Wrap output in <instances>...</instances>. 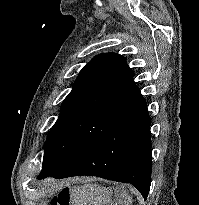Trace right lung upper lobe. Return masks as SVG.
I'll return each mask as SVG.
<instances>
[{"label":"right lung upper lobe","instance_id":"cb5924a9","mask_svg":"<svg viewBox=\"0 0 199 205\" xmlns=\"http://www.w3.org/2000/svg\"><path fill=\"white\" fill-rule=\"evenodd\" d=\"M134 72L117 53L96 56L80 71L61 111L90 109L125 120L140 111L144 102L130 85Z\"/></svg>","mask_w":199,"mask_h":205}]
</instances>
